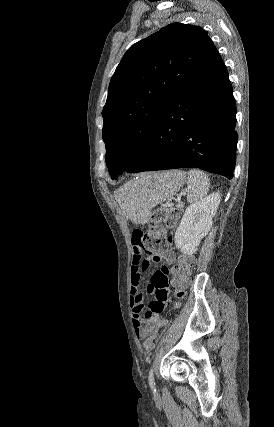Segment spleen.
<instances>
[{"mask_svg": "<svg viewBox=\"0 0 274 427\" xmlns=\"http://www.w3.org/2000/svg\"><path fill=\"white\" fill-rule=\"evenodd\" d=\"M187 176V200L190 204H196V202L203 200L209 192V178L200 170H189Z\"/></svg>", "mask_w": 274, "mask_h": 427, "instance_id": "3e777b00", "label": "spleen"}]
</instances>
